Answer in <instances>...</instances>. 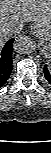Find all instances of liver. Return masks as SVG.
<instances>
[{"label": "liver", "instance_id": "liver-1", "mask_svg": "<svg viewBox=\"0 0 51 153\" xmlns=\"http://www.w3.org/2000/svg\"><path fill=\"white\" fill-rule=\"evenodd\" d=\"M30 21L50 26L51 0H0L1 47L9 39L5 36L6 31Z\"/></svg>", "mask_w": 51, "mask_h": 153}]
</instances>
